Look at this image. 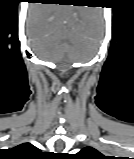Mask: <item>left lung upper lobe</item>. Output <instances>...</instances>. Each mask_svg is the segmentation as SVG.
<instances>
[{
    "mask_svg": "<svg viewBox=\"0 0 134 159\" xmlns=\"http://www.w3.org/2000/svg\"><path fill=\"white\" fill-rule=\"evenodd\" d=\"M71 159H107V157L92 147H85L77 154L72 155Z\"/></svg>",
    "mask_w": 134,
    "mask_h": 159,
    "instance_id": "left-lung-upper-lobe-1",
    "label": "left lung upper lobe"
}]
</instances>
